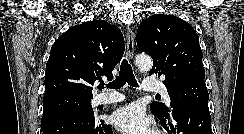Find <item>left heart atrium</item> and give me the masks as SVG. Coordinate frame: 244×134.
I'll return each mask as SVG.
<instances>
[{
	"instance_id": "1",
	"label": "left heart atrium",
	"mask_w": 244,
	"mask_h": 134,
	"mask_svg": "<svg viewBox=\"0 0 244 134\" xmlns=\"http://www.w3.org/2000/svg\"><path fill=\"white\" fill-rule=\"evenodd\" d=\"M112 122L124 134H153L152 121L137 104L122 107L112 115Z\"/></svg>"
}]
</instances>
